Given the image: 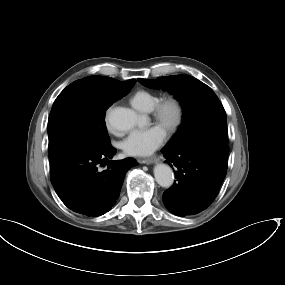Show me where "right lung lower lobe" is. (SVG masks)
Masks as SVG:
<instances>
[{"mask_svg": "<svg viewBox=\"0 0 285 285\" xmlns=\"http://www.w3.org/2000/svg\"><path fill=\"white\" fill-rule=\"evenodd\" d=\"M116 149H81L50 163L51 183L62 202L72 211L90 217L108 212L115 204L132 158L111 160ZM99 164L107 167L101 171Z\"/></svg>", "mask_w": 285, "mask_h": 285, "instance_id": "right-lung-lower-lobe-1", "label": "right lung lower lobe"}]
</instances>
